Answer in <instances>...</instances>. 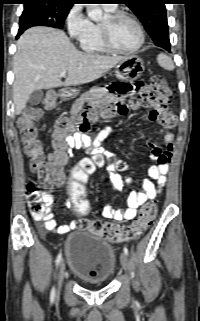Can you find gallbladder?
<instances>
[{
	"label": "gallbladder",
	"mask_w": 200,
	"mask_h": 321,
	"mask_svg": "<svg viewBox=\"0 0 200 321\" xmlns=\"http://www.w3.org/2000/svg\"><path fill=\"white\" fill-rule=\"evenodd\" d=\"M43 95H44V93H43L42 90L34 91V92L30 95V97H29V99H28V103H29L30 105H32V106L38 105V104L40 103V101L42 100Z\"/></svg>",
	"instance_id": "1"
}]
</instances>
